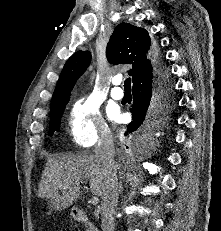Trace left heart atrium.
<instances>
[{"label":"left heart atrium","instance_id":"obj_1","mask_svg":"<svg viewBox=\"0 0 221 231\" xmlns=\"http://www.w3.org/2000/svg\"><path fill=\"white\" fill-rule=\"evenodd\" d=\"M110 117H111L113 120H116V121H118V120L121 119V115H120L118 112H112V113L110 114Z\"/></svg>","mask_w":221,"mask_h":231}]
</instances>
